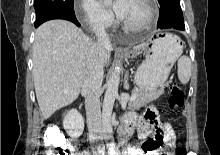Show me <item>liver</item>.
Returning a JSON list of instances; mask_svg holds the SVG:
<instances>
[{
	"label": "liver",
	"mask_w": 220,
	"mask_h": 155,
	"mask_svg": "<svg viewBox=\"0 0 220 155\" xmlns=\"http://www.w3.org/2000/svg\"><path fill=\"white\" fill-rule=\"evenodd\" d=\"M93 44L80 28L65 20L45 22L36 30L33 79L44 119L78 98ZM110 60L108 50L104 65H109Z\"/></svg>",
	"instance_id": "1"
}]
</instances>
